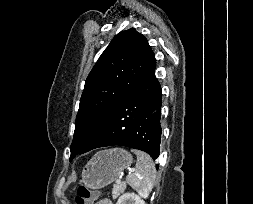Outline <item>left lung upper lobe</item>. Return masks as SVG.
<instances>
[{
    "mask_svg": "<svg viewBox=\"0 0 253 204\" xmlns=\"http://www.w3.org/2000/svg\"><path fill=\"white\" fill-rule=\"evenodd\" d=\"M154 57L147 39L134 28L113 38L85 81L70 160L82 153L96 130L136 88Z\"/></svg>",
    "mask_w": 253,
    "mask_h": 204,
    "instance_id": "obj_1",
    "label": "left lung upper lobe"
}]
</instances>
